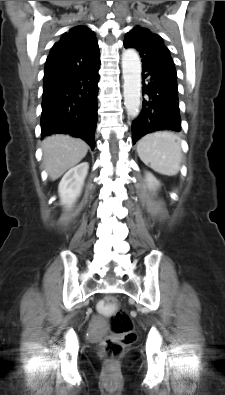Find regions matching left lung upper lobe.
I'll return each mask as SVG.
<instances>
[{
    "label": "left lung upper lobe",
    "mask_w": 225,
    "mask_h": 395,
    "mask_svg": "<svg viewBox=\"0 0 225 395\" xmlns=\"http://www.w3.org/2000/svg\"><path fill=\"white\" fill-rule=\"evenodd\" d=\"M126 48L137 49L142 57V68L164 69L176 73L175 64L163 39L140 26L129 31L124 39Z\"/></svg>",
    "instance_id": "obj_1"
}]
</instances>
